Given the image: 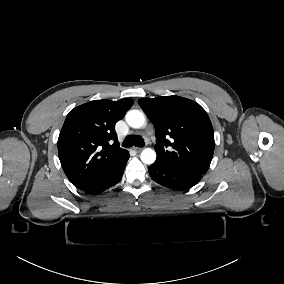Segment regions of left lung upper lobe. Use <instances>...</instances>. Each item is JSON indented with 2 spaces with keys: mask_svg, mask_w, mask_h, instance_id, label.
<instances>
[{
  "mask_svg": "<svg viewBox=\"0 0 284 284\" xmlns=\"http://www.w3.org/2000/svg\"><path fill=\"white\" fill-rule=\"evenodd\" d=\"M138 103L155 126L156 161L205 174L215 147L206 111L195 101L179 96L141 98Z\"/></svg>",
  "mask_w": 284,
  "mask_h": 284,
  "instance_id": "5c2ea615",
  "label": "left lung upper lobe"
}]
</instances>
